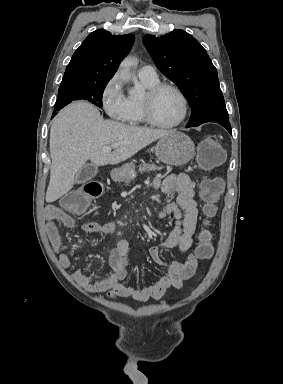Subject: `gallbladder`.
Wrapping results in <instances>:
<instances>
[{
	"mask_svg": "<svg viewBox=\"0 0 283 384\" xmlns=\"http://www.w3.org/2000/svg\"><path fill=\"white\" fill-rule=\"evenodd\" d=\"M95 165H86L84 168L79 170L76 176L77 184H83V182H87L91 177H97V170H95Z\"/></svg>",
	"mask_w": 283,
	"mask_h": 384,
	"instance_id": "obj_1",
	"label": "gallbladder"
}]
</instances>
